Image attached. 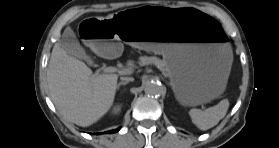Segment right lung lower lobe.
Masks as SVG:
<instances>
[{
	"mask_svg": "<svg viewBox=\"0 0 279 148\" xmlns=\"http://www.w3.org/2000/svg\"><path fill=\"white\" fill-rule=\"evenodd\" d=\"M120 128L116 129V130H111V131H108L106 133H115V132H118Z\"/></svg>",
	"mask_w": 279,
	"mask_h": 148,
	"instance_id": "right-lung-lower-lobe-1",
	"label": "right lung lower lobe"
}]
</instances>
